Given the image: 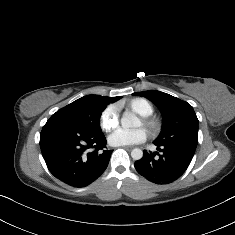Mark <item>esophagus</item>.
I'll return each mask as SVG.
<instances>
[{
	"mask_svg": "<svg viewBox=\"0 0 235 235\" xmlns=\"http://www.w3.org/2000/svg\"><path fill=\"white\" fill-rule=\"evenodd\" d=\"M123 149L131 151L134 147L133 146H122Z\"/></svg>",
	"mask_w": 235,
	"mask_h": 235,
	"instance_id": "1",
	"label": "esophagus"
}]
</instances>
